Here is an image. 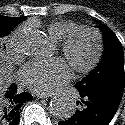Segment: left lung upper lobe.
Instances as JSON below:
<instances>
[{
	"label": "left lung upper lobe",
	"mask_w": 125,
	"mask_h": 125,
	"mask_svg": "<svg viewBox=\"0 0 125 125\" xmlns=\"http://www.w3.org/2000/svg\"><path fill=\"white\" fill-rule=\"evenodd\" d=\"M104 37L105 51L100 64L77 84L86 92L113 85H124V53L115 33L99 25Z\"/></svg>",
	"instance_id": "5c2ea615"
}]
</instances>
